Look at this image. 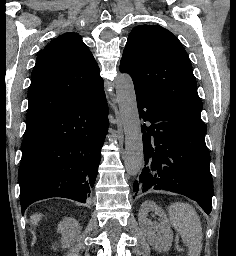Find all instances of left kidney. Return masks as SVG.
<instances>
[{"label":"left kidney","mask_w":236,"mask_h":256,"mask_svg":"<svg viewBox=\"0 0 236 256\" xmlns=\"http://www.w3.org/2000/svg\"><path fill=\"white\" fill-rule=\"evenodd\" d=\"M152 210L156 216H159L160 224H154L151 220H148V212ZM138 222L141 230H143L148 244L158 250V252H168L173 242V232L170 228L168 218L155 202L146 200L143 202L138 216Z\"/></svg>","instance_id":"left-kidney-1"}]
</instances>
